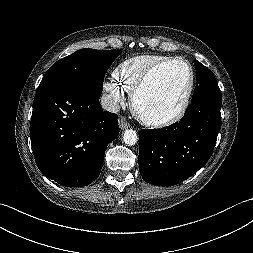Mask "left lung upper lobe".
Instances as JSON below:
<instances>
[{
  "label": "left lung upper lobe",
  "mask_w": 253,
  "mask_h": 253,
  "mask_svg": "<svg viewBox=\"0 0 253 253\" xmlns=\"http://www.w3.org/2000/svg\"><path fill=\"white\" fill-rule=\"evenodd\" d=\"M195 68L197 70V85L192 101L205 96L221 98V91L212 71L197 60H195Z\"/></svg>",
  "instance_id": "left-lung-upper-lobe-1"
}]
</instances>
